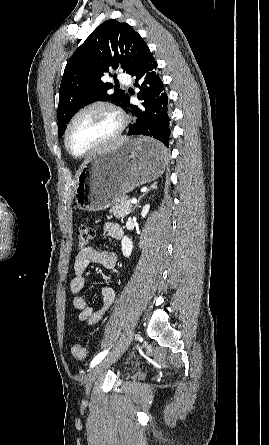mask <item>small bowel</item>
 I'll return each instance as SVG.
<instances>
[{
	"mask_svg": "<svg viewBox=\"0 0 269 445\" xmlns=\"http://www.w3.org/2000/svg\"><path fill=\"white\" fill-rule=\"evenodd\" d=\"M104 232L114 239H120L123 236L121 226L115 222H107L104 225ZM90 263H97L108 270L118 272L117 255L111 251H102L94 247H86L81 249L74 259V276L70 282V291L74 295L72 305L79 311V321L93 325L101 320L103 314L113 304L115 291L109 286L101 289L102 306L98 310H95L87 303L86 299L80 295V293L85 286V275Z\"/></svg>",
	"mask_w": 269,
	"mask_h": 445,
	"instance_id": "1",
	"label": "small bowel"
}]
</instances>
